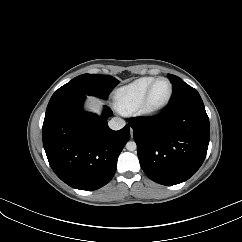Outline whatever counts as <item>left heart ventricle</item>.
Segmentation results:
<instances>
[{
    "label": "left heart ventricle",
    "mask_w": 242,
    "mask_h": 242,
    "mask_svg": "<svg viewBox=\"0 0 242 242\" xmlns=\"http://www.w3.org/2000/svg\"><path fill=\"white\" fill-rule=\"evenodd\" d=\"M169 93V84L165 80L158 81L152 91L151 101L153 103H159L163 101Z\"/></svg>",
    "instance_id": "obj_1"
}]
</instances>
